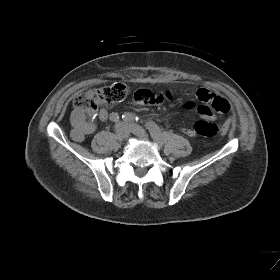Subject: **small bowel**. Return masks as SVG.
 <instances>
[{
  "instance_id": "small-bowel-1",
  "label": "small bowel",
  "mask_w": 280,
  "mask_h": 280,
  "mask_svg": "<svg viewBox=\"0 0 280 280\" xmlns=\"http://www.w3.org/2000/svg\"><path fill=\"white\" fill-rule=\"evenodd\" d=\"M177 91L173 88H166L159 92H153L149 89H138L134 93V100L139 104H160L162 102L173 99ZM195 96L201 104L196 108L199 116L204 120H214L216 114L225 115L231 110L229 102L223 97L213 93L206 88H200L196 91ZM187 109H193L194 104L187 102L185 104ZM100 120L104 121L108 118V112L101 109L98 114ZM234 122V117L231 115L222 125L224 132L228 130L230 125ZM71 123L73 126L72 138L75 141H82L84 137L95 130V124L85 119L84 113L79 110H74L71 116ZM182 132L189 136L194 137L192 128H184Z\"/></svg>"
}]
</instances>
